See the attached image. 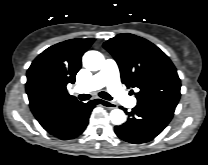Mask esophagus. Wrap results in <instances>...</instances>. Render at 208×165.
<instances>
[{
	"instance_id": "esophagus-1",
	"label": "esophagus",
	"mask_w": 208,
	"mask_h": 165,
	"mask_svg": "<svg viewBox=\"0 0 208 165\" xmlns=\"http://www.w3.org/2000/svg\"><path fill=\"white\" fill-rule=\"evenodd\" d=\"M94 102L99 104L102 107H105V108L113 109V108L116 107L115 103L110 102V101H106V100L101 99V98H95Z\"/></svg>"
}]
</instances>
